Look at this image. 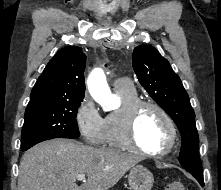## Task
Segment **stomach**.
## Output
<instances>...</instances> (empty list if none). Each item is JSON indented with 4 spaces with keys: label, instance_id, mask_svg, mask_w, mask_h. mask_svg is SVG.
<instances>
[{
    "label": "stomach",
    "instance_id": "0dacf381",
    "mask_svg": "<svg viewBox=\"0 0 221 190\" xmlns=\"http://www.w3.org/2000/svg\"><path fill=\"white\" fill-rule=\"evenodd\" d=\"M128 181L132 190H151L154 177L146 167L137 165L130 170Z\"/></svg>",
    "mask_w": 221,
    "mask_h": 190
}]
</instances>
